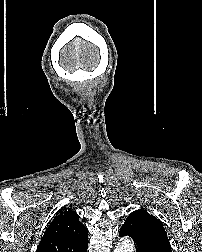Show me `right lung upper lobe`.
<instances>
[{
    "mask_svg": "<svg viewBox=\"0 0 202 252\" xmlns=\"http://www.w3.org/2000/svg\"><path fill=\"white\" fill-rule=\"evenodd\" d=\"M88 229L70 208L57 215L44 233L36 252H85Z\"/></svg>",
    "mask_w": 202,
    "mask_h": 252,
    "instance_id": "1",
    "label": "right lung upper lobe"
}]
</instances>
